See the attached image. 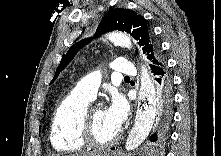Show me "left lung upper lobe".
<instances>
[{
	"mask_svg": "<svg viewBox=\"0 0 221 156\" xmlns=\"http://www.w3.org/2000/svg\"><path fill=\"white\" fill-rule=\"evenodd\" d=\"M113 30L126 31L130 33L134 39L138 40V44L142 46L143 53L147 55V59L151 63L149 65L150 67L165 62V59L161 54L160 47L153 37L150 25L141 15L127 9H113L104 16L94 37ZM90 41L91 38L79 41L70 48L66 55H63L51 83L57 79L60 72L65 68L76 52Z\"/></svg>",
	"mask_w": 221,
	"mask_h": 156,
	"instance_id": "left-lung-upper-lobe-1",
	"label": "left lung upper lobe"
}]
</instances>
